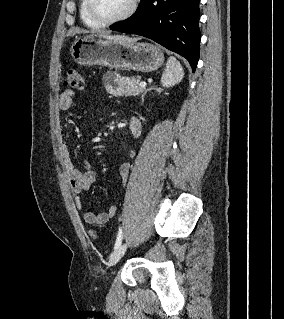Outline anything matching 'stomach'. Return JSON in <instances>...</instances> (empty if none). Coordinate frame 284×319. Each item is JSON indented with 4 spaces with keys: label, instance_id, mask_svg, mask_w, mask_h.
<instances>
[{
    "label": "stomach",
    "instance_id": "1",
    "mask_svg": "<svg viewBox=\"0 0 284 319\" xmlns=\"http://www.w3.org/2000/svg\"><path fill=\"white\" fill-rule=\"evenodd\" d=\"M70 53L82 66L102 65L143 73L155 71L164 63V54L153 44L102 39L92 35L77 38Z\"/></svg>",
    "mask_w": 284,
    "mask_h": 319
}]
</instances>
